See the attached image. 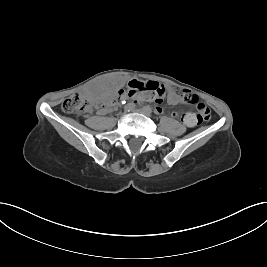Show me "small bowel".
Wrapping results in <instances>:
<instances>
[{
  "label": "small bowel",
  "mask_w": 267,
  "mask_h": 267,
  "mask_svg": "<svg viewBox=\"0 0 267 267\" xmlns=\"http://www.w3.org/2000/svg\"><path fill=\"white\" fill-rule=\"evenodd\" d=\"M112 88H107V92H110ZM167 101L171 105H177L182 101V96L178 94L175 90L172 88H169V93L167 96ZM200 103V102H199ZM159 111H162L160 107L157 108ZM109 110L108 109H101L100 112L102 113H107ZM174 117H179L181 120L188 126V127H193L198 124L195 113H185V114H179L178 112L173 113Z\"/></svg>",
  "instance_id": "c3829d8e"
}]
</instances>
